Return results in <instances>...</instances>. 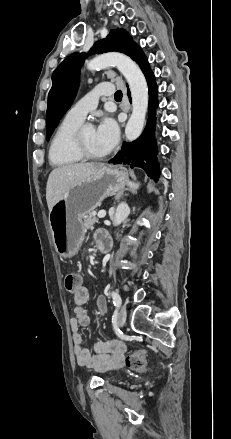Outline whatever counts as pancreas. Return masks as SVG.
I'll use <instances>...</instances> for the list:
<instances>
[{"mask_svg": "<svg viewBox=\"0 0 231 439\" xmlns=\"http://www.w3.org/2000/svg\"><path fill=\"white\" fill-rule=\"evenodd\" d=\"M96 223H98L96 212H90L83 217V224L86 229L92 228Z\"/></svg>", "mask_w": 231, "mask_h": 439, "instance_id": "cf45deb5", "label": "pancreas"}]
</instances>
